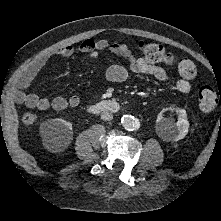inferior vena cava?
I'll list each match as a JSON object with an SVG mask.
<instances>
[{
    "instance_id": "1",
    "label": "inferior vena cava",
    "mask_w": 221,
    "mask_h": 221,
    "mask_svg": "<svg viewBox=\"0 0 221 221\" xmlns=\"http://www.w3.org/2000/svg\"><path fill=\"white\" fill-rule=\"evenodd\" d=\"M101 119H102L103 121H111V120L113 119V115H112V113L109 112V111H103V112L101 113Z\"/></svg>"
}]
</instances>
